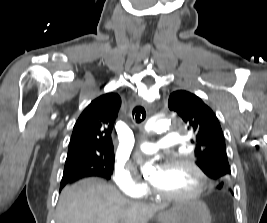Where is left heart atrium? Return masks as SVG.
Segmentation results:
<instances>
[{
  "mask_svg": "<svg viewBox=\"0 0 267 223\" xmlns=\"http://www.w3.org/2000/svg\"><path fill=\"white\" fill-rule=\"evenodd\" d=\"M163 173H164V167H158L155 174L151 178V182L153 185L162 178Z\"/></svg>",
  "mask_w": 267,
  "mask_h": 223,
  "instance_id": "obj_1",
  "label": "left heart atrium"
}]
</instances>
